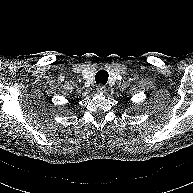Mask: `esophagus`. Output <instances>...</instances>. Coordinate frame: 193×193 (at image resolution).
<instances>
[{
    "mask_svg": "<svg viewBox=\"0 0 193 193\" xmlns=\"http://www.w3.org/2000/svg\"><path fill=\"white\" fill-rule=\"evenodd\" d=\"M96 90H97L99 93H105L106 90H107V88H106L105 85L99 84V85H97Z\"/></svg>",
    "mask_w": 193,
    "mask_h": 193,
    "instance_id": "esophagus-1",
    "label": "esophagus"
}]
</instances>
